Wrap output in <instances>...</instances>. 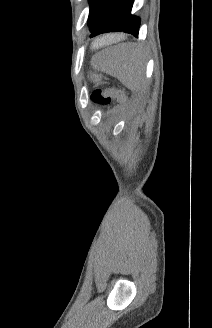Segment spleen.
<instances>
[{
    "instance_id": "spleen-1",
    "label": "spleen",
    "mask_w": 212,
    "mask_h": 328,
    "mask_svg": "<svg viewBox=\"0 0 212 328\" xmlns=\"http://www.w3.org/2000/svg\"><path fill=\"white\" fill-rule=\"evenodd\" d=\"M114 42L111 36H104L96 39L93 44V49H98L100 47H104ZM127 49V53L125 54L123 60V68L117 74L119 80L130 90L137 91L143 85V68L139 63L138 54L139 49L133 44H125L123 45Z\"/></svg>"
}]
</instances>
